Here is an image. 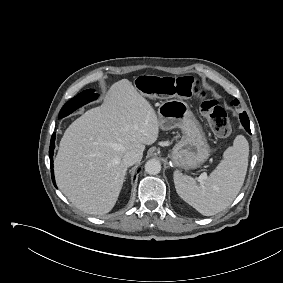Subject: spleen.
Here are the masks:
<instances>
[{"label":"spleen","mask_w":283,"mask_h":283,"mask_svg":"<svg viewBox=\"0 0 283 283\" xmlns=\"http://www.w3.org/2000/svg\"><path fill=\"white\" fill-rule=\"evenodd\" d=\"M249 144L238 135L233 146L227 148L223 160L209 175L204 185L179 171L174 172L178 195L199 213L212 216L227 208L239 193L247 172Z\"/></svg>","instance_id":"1"}]
</instances>
